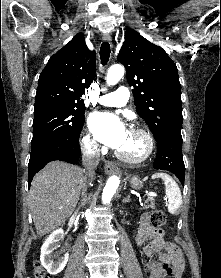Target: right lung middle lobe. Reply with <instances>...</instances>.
<instances>
[{"label": "right lung middle lobe", "mask_w": 221, "mask_h": 278, "mask_svg": "<svg viewBox=\"0 0 221 278\" xmlns=\"http://www.w3.org/2000/svg\"><path fill=\"white\" fill-rule=\"evenodd\" d=\"M84 110L63 105L35 107L31 144L51 135L79 136L85 121Z\"/></svg>", "instance_id": "dd1d6c3e"}]
</instances>
